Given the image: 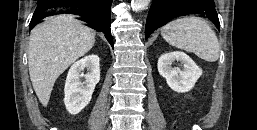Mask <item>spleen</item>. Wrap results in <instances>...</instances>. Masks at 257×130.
Instances as JSON below:
<instances>
[{
	"mask_svg": "<svg viewBox=\"0 0 257 130\" xmlns=\"http://www.w3.org/2000/svg\"><path fill=\"white\" fill-rule=\"evenodd\" d=\"M161 35L170 45L193 52L207 62H215L219 58L217 36L209 24L199 17L173 20L161 28Z\"/></svg>",
	"mask_w": 257,
	"mask_h": 130,
	"instance_id": "3e777b00",
	"label": "spleen"
}]
</instances>
